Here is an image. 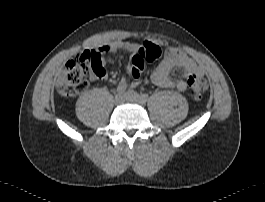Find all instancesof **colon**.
Listing matches in <instances>:
<instances>
[{
	"label": "colon",
	"mask_w": 265,
	"mask_h": 202,
	"mask_svg": "<svg viewBox=\"0 0 265 202\" xmlns=\"http://www.w3.org/2000/svg\"><path fill=\"white\" fill-rule=\"evenodd\" d=\"M100 48L94 47L76 54L75 58L66 63L62 69L57 89L61 92H82L88 86L87 75L90 68L102 74L99 56ZM166 55V51L160 45L148 44L142 47L131 57L132 76L138 79L147 63L153 62ZM207 89L205 78L194 76L188 82V92L194 100H200Z\"/></svg>",
	"instance_id": "colon-1"
}]
</instances>
